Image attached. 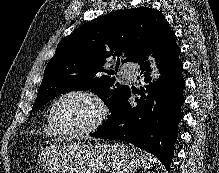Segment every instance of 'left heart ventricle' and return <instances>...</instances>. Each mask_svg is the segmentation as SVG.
<instances>
[{
  "label": "left heart ventricle",
  "mask_w": 219,
  "mask_h": 173,
  "mask_svg": "<svg viewBox=\"0 0 219 173\" xmlns=\"http://www.w3.org/2000/svg\"><path fill=\"white\" fill-rule=\"evenodd\" d=\"M98 108L90 99L73 95L63 99L56 108L59 125L67 131L88 126L97 116Z\"/></svg>",
  "instance_id": "1"
}]
</instances>
